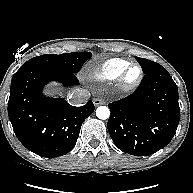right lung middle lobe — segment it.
<instances>
[{
    "label": "right lung middle lobe",
    "mask_w": 193,
    "mask_h": 193,
    "mask_svg": "<svg viewBox=\"0 0 193 193\" xmlns=\"http://www.w3.org/2000/svg\"><path fill=\"white\" fill-rule=\"evenodd\" d=\"M90 52L64 53L60 55L46 54L34 57L25 62L20 71L34 68L47 69L52 71H63L77 73L82 65L91 57Z\"/></svg>",
    "instance_id": "dd1d6c3e"
}]
</instances>
